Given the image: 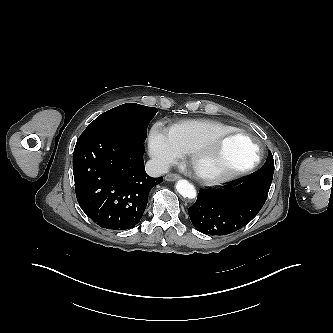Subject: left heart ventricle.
<instances>
[{
	"label": "left heart ventricle",
	"instance_id": "obj_1",
	"mask_svg": "<svg viewBox=\"0 0 333 333\" xmlns=\"http://www.w3.org/2000/svg\"><path fill=\"white\" fill-rule=\"evenodd\" d=\"M253 144L242 136L225 139L216 151L199 162L203 172H219L249 163L255 156Z\"/></svg>",
	"mask_w": 333,
	"mask_h": 333
}]
</instances>
